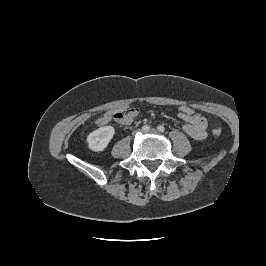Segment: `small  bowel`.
I'll return each mask as SVG.
<instances>
[{
    "label": "small bowel",
    "instance_id": "c3829d8e",
    "mask_svg": "<svg viewBox=\"0 0 266 266\" xmlns=\"http://www.w3.org/2000/svg\"><path fill=\"white\" fill-rule=\"evenodd\" d=\"M134 117L128 123H131L138 115L139 110L133 108ZM112 118V112H105L97 120L99 126L106 125ZM178 119L183 122V130L194 140H203L207 137V120L200 114L188 117L182 114H178Z\"/></svg>",
    "mask_w": 266,
    "mask_h": 266
}]
</instances>
